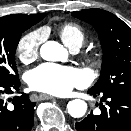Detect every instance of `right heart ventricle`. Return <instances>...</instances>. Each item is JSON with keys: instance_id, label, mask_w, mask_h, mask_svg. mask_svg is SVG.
Returning a JSON list of instances; mask_svg holds the SVG:
<instances>
[{"instance_id": "1", "label": "right heart ventricle", "mask_w": 131, "mask_h": 131, "mask_svg": "<svg viewBox=\"0 0 131 131\" xmlns=\"http://www.w3.org/2000/svg\"><path fill=\"white\" fill-rule=\"evenodd\" d=\"M59 36L70 49L79 48L85 40L83 29L75 23H65L59 28Z\"/></svg>"}]
</instances>
